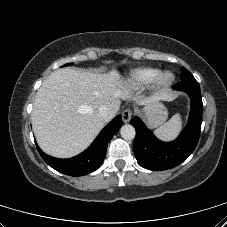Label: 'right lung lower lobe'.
Here are the masks:
<instances>
[{"mask_svg": "<svg viewBox=\"0 0 227 227\" xmlns=\"http://www.w3.org/2000/svg\"><path fill=\"white\" fill-rule=\"evenodd\" d=\"M122 125V117L114 118L97 136L94 142L81 154L69 159H57L43 153L37 146V150L43 160L60 173L69 176H83L97 170L107 150V145L112 136Z\"/></svg>", "mask_w": 227, "mask_h": 227, "instance_id": "1", "label": "right lung lower lobe"}]
</instances>
